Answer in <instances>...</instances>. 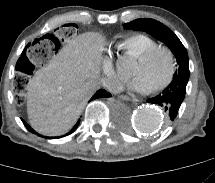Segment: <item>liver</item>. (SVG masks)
<instances>
[{
  "mask_svg": "<svg viewBox=\"0 0 215 183\" xmlns=\"http://www.w3.org/2000/svg\"><path fill=\"white\" fill-rule=\"evenodd\" d=\"M104 38L93 32L69 41L27 86L32 128L47 136L69 131L98 88Z\"/></svg>",
  "mask_w": 215,
  "mask_h": 183,
  "instance_id": "1",
  "label": "liver"
}]
</instances>
